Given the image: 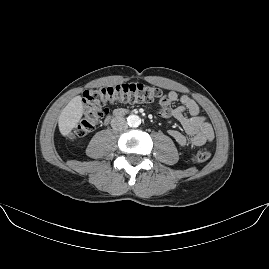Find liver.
Wrapping results in <instances>:
<instances>
[{
  "instance_id": "liver-1",
  "label": "liver",
  "mask_w": 269,
  "mask_h": 269,
  "mask_svg": "<svg viewBox=\"0 0 269 269\" xmlns=\"http://www.w3.org/2000/svg\"><path fill=\"white\" fill-rule=\"evenodd\" d=\"M83 112L80 96L74 97L61 111L59 116V129L63 135H68L76 125Z\"/></svg>"
}]
</instances>
